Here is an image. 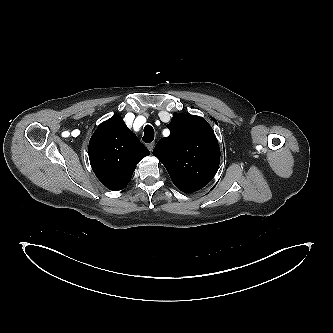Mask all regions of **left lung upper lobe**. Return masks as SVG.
<instances>
[{
  "label": "left lung upper lobe",
  "instance_id": "1",
  "mask_svg": "<svg viewBox=\"0 0 333 333\" xmlns=\"http://www.w3.org/2000/svg\"><path fill=\"white\" fill-rule=\"evenodd\" d=\"M170 135L153 150L167 169L174 185L185 193L195 192L215 176L220 149L211 126L199 116L174 113Z\"/></svg>",
  "mask_w": 333,
  "mask_h": 333
}]
</instances>
